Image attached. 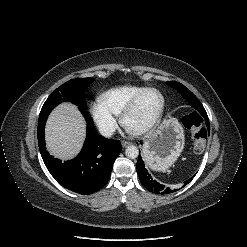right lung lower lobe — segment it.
<instances>
[{"mask_svg": "<svg viewBox=\"0 0 247 247\" xmlns=\"http://www.w3.org/2000/svg\"><path fill=\"white\" fill-rule=\"evenodd\" d=\"M62 101L47 100L40 112L38 121V145L43 161L54 177L63 187L73 192L92 194L109 181L113 164L121 153L120 141L107 139L88 125L84 146L78 156L62 162L52 157L45 148L44 129L50 112ZM88 123L93 120L86 109L79 108Z\"/></svg>", "mask_w": 247, "mask_h": 247, "instance_id": "right-lung-lower-lobe-1", "label": "right lung lower lobe"}]
</instances>
